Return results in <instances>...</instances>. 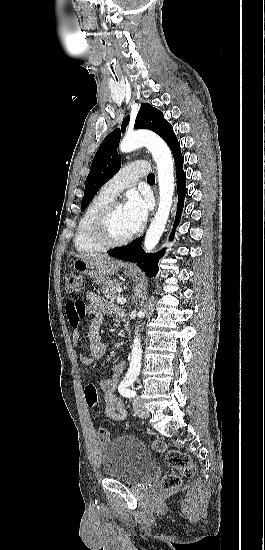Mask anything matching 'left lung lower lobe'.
<instances>
[{"instance_id": "obj_1", "label": "left lung lower lobe", "mask_w": 265, "mask_h": 550, "mask_svg": "<svg viewBox=\"0 0 265 550\" xmlns=\"http://www.w3.org/2000/svg\"><path fill=\"white\" fill-rule=\"evenodd\" d=\"M175 164H176V177H177V192H178V209L176 213L175 223L173 232L170 235V239H173L174 231L176 226L180 221L181 212L183 209L184 198L187 193L186 183H185V173L183 171V156L180 151V144H176L171 148ZM142 237L136 239L132 243L123 246L121 248H115L109 254L113 257L130 261L137 262V265L148 273L150 277L155 276L158 272V261L159 258L163 255L164 249L161 252L152 254L145 253L141 248Z\"/></svg>"}]
</instances>
